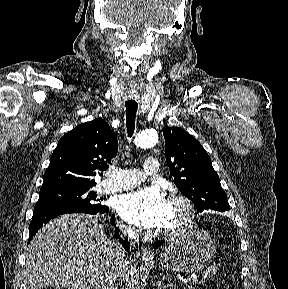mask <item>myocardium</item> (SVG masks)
Wrapping results in <instances>:
<instances>
[{
  "instance_id": "myocardium-1",
  "label": "myocardium",
  "mask_w": 288,
  "mask_h": 289,
  "mask_svg": "<svg viewBox=\"0 0 288 289\" xmlns=\"http://www.w3.org/2000/svg\"><path fill=\"white\" fill-rule=\"evenodd\" d=\"M171 203L178 204L183 210V220L175 227L167 228L166 233L169 236H181L191 231L195 226V206L191 199L182 194H172L169 197Z\"/></svg>"
}]
</instances>
